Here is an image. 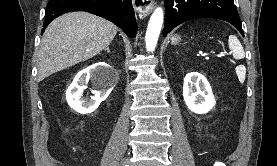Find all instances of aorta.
Here are the masks:
<instances>
[{
  "label": "aorta",
  "instance_id": "obj_1",
  "mask_svg": "<svg viewBox=\"0 0 277 166\" xmlns=\"http://www.w3.org/2000/svg\"><path fill=\"white\" fill-rule=\"evenodd\" d=\"M162 24L163 10L162 8H156L149 20L148 28L146 31L145 41L147 51L153 52L155 50Z\"/></svg>",
  "mask_w": 277,
  "mask_h": 166
}]
</instances>
